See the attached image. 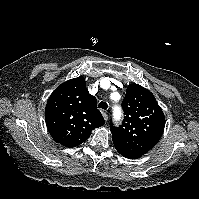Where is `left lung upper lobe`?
I'll return each mask as SVG.
<instances>
[{
    "instance_id": "5c2ea615",
    "label": "left lung upper lobe",
    "mask_w": 199,
    "mask_h": 199,
    "mask_svg": "<svg viewBox=\"0 0 199 199\" xmlns=\"http://www.w3.org/2000/svg\"><path fill=\"white\" fill-rule=\"evenodd\" d=\"M122 108V125H110L113 143L121 155L139 158L160 140L165 127L164 113L153 94L137 84L127 87Z\"/></svg>"
}]
</instances>
